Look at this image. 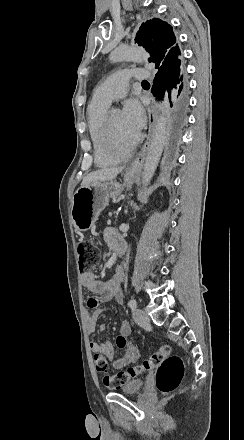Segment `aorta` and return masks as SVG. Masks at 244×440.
<instances>
[{
    "mask_svg": "<svg viewBox=\"0 0 244 440\" xmlns=\"http://www.w3.org/2000/svg\"><path fill=\"white\" fill-rule=\"evenodd\" d=\"M148 57L149 55L146 51L141 48H117L111 54V59L113 61H143ZM167 105L168 102L165 95L160 104L159 115L148 146L147 157L142 174L143 187H146L150 183L163 152L167 134Z\"/></svg>",
    "mask_w": 244,
    "mask_h": 440,
    "instance_id": "762f6f07",
    "label": "aorta"
}]
</instances>
